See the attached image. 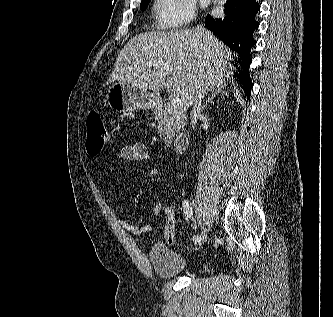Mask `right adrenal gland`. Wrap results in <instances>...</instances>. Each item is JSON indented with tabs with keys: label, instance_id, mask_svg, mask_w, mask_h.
Returning a JSON list of instances; mask_svg holds the SVG:
<instances>
[{
	"label": "right adrenal gland",
	"instance_id": "obj_1",
	"mask_svg": "<svg viewBox=\"0 0 333 317\" xmlns=\"http://www.w3.org/2000/svg\"><path fill=\"white\" fill-rule=\"evenodd\" d=\"M219 94L228 96V92L225 90V86H217L216 89L212 91V94L208 97L207 101L203 104L202 108L207 107L208 103L217 97Z\"/></svg>",
	"mask_w": 333,
	"mask_h": 317
}]
</instances>
